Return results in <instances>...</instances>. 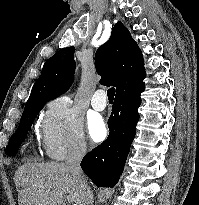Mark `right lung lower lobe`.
Segmentation results:
<instances>
[{
  "mask_svg": "<svg viewBox=\"0 0 199 205\" xmlns=\"http://www.w3.org/2000/svg\"><path fill=\"white\" fill-rule=\"evenodd\" d=\"M146 73L133 79L116 92L108 120L109 136L87 153L81 162L85 174L100 187H114L123 172L127 155L136 134L141 93Z\"/></svg>",
  "mask_w": 199,
  "mask_h": 205,
  "instance_id": "right-lung-lower-lobe-1",
  "label": "right lung lower lobe"
}]
</instances>
